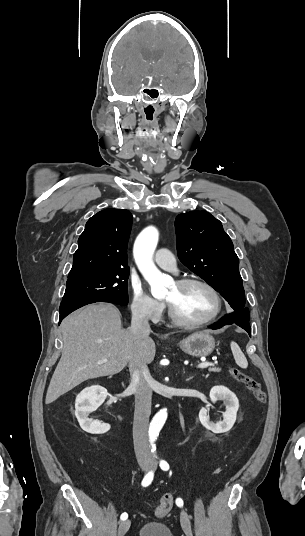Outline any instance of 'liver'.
<instances>
[{
    "label": "liver",
    "mask_w": 305,
    "mask_h": 536,
    "mask_svg": "<svg viewBox=\"0 0 305 536\" xmlns=\"http://www.w3.org/2000/svg\"><path fill=\"white\" fill-rule=\"evenodd\" d=\"M63 350L51 378L45 404H52L81 382L119 374L132 360L135 366L151 364L156 346L122 330L121 314L112 304H89L63 320ZM99 360H108L97 364Z\"/></svg>",
    "instance_id": "liver-1"
}]
</instances>
